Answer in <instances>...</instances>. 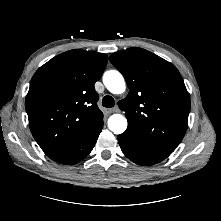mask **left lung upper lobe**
<instances>
[{
    "label": "left lung upper lobe",
    "mask_w": 221,
    "mask_h": 221,
    "mask_svg": "<svg viewBox=\"0 0 221 221\" xmlns=\"http://www.w3.org/2000/svg\"><path fill=\"white\" fill-rule=\"evenodd\" d=\"M109 60L130 90L118 103L128 128L149 146L172 153L185 135L190 112L189 93L177 68L138 47L118 51Z\"/></svg>",
    "instance_id": "5c2ea615"
}]
</instances>
